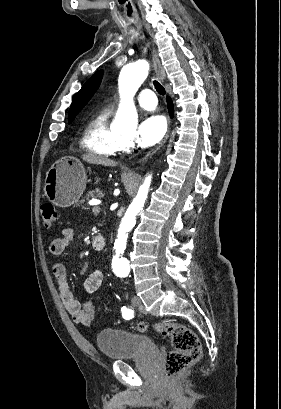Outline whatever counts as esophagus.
I'll return each instance as SVG.
<instances>
[{
  "instance_id": "34e87169",
  "label": "esophagus",
  "mask_w": 281,
  "mask_h": 409,
  "mask_svg": "<svg viewBox=\"0 0 281 409\" xmlns=\"http://www.w3.org/2000/svg\"><path fill=\"white\" fill-rule=\"evenodd\" d=\"M152 58H153L154 70L157 76L159 77V79L163 82L166 79V74H165V71L161 65L160 59L154 47H152ZM168 136H169V131L167 135L165 136L164 142H162L159 146L155 147L154 149L150 150V152H148L147 155L144 157L143 162H145L149 157H151L155 152H157V150L163 145V143L166 142Z\"/></svg>"
}]
</instances>
